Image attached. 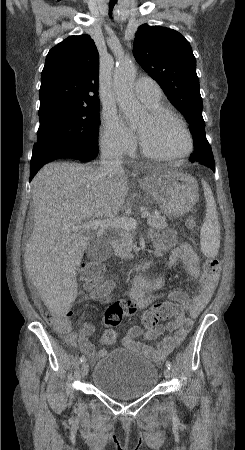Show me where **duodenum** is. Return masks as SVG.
Wrapping results in <instances>:
<instances>
[{"instance_id":"duodenum-1","label":"duodenum","mask_w":245,"mask_h":450,"mask_svg":"<svg viewBox=\"0 0 245 450\" xmlns=\"http://www.w3.org/2000/svg\"><path fill=\"white\" fill-rule=\"evenodd\" d=\"M109 244L111 246H114L116 244V240L114 238H110L109 239ZM150 266H151V261H146V262L136 266L135 271H137V272L145 271Z\"/></svg>"}]
</instances>
